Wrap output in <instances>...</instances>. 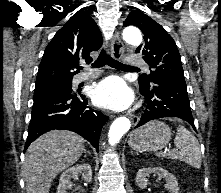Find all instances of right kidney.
Instances as JSON below:
<instances>
[{
  "mask_svg": "<svg viewBox=\"0 0 221 193\" xmlns=\"http://www.w3.org/2000/svg\"><path fill=\"white\" fill-rule=\"evenodd\" d=\"M78 174L82 175V178L86 183H90L92 180V169L87 163L78 164L71 168H68L60 177L57 193H67L66 190L71 188V179L78 177Z\"/></svg>",
  "mask_w": 221,
  "mask_h": 193,
  "instance_id": "ca27d5eb",
  "label": "right kidney"
}]
</instances>
